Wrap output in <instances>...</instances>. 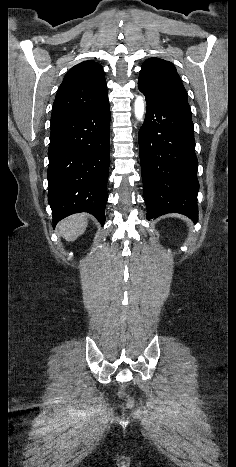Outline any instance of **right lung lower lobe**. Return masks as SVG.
Returning a JSON list of instances; mask_svg holds the SVG:
<instances>
[{
	"mask_svg": "<svg viewBox=\"0 0 236 467\" xmlns=\"http://www.w3.org/2000/svg\"><path fill=\"white\" fill-rule=\"evenodd\" d=\"M109 137L108 99L78 117L51 126L47 178L54 226L78 212L91 213L105 224Z\"/></svg>",
	"mask_w": 236,
	"mask_h": 467,
	"instance_id": "right-lung-lower-lobe-1",
	"label": "right lung lower lobe"
}]
</instances>
